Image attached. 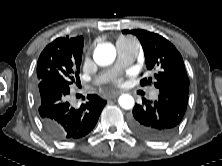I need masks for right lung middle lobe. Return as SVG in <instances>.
I'll return each mask as SVG.
<instances>
[{"instance_id": "right-lung-middle-lobe-1", "label": "right lung middle lobe", "mask_w": 222, "mask_h": 166, "mask_svg": "<svg viewBox=\"0 0 222 166\" xmlns=\"http://www.w3.org/2000/svg\"><path fill=\"white\" fill-rule=\"evenodd\" d=\"M72 47L65 50H46L40 54L37 62V80L56 77L68 84L78 78L82 59L84 39L75 37Z\"/></svg>"}]
</instances>
